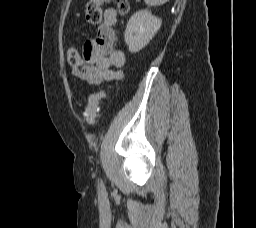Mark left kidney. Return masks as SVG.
<instances>
[{"instance_id": "obj_1", "label": "left kidney", "mask_w": 256, "mask_h": 228, "mask_svg": "<svg viewBox=\"0 0 256 228\" xmlns=\"http://www.w3.org/2000/svg\"><path fill=\"white\" fill-rule=\"evenodd\" d=\"M162 20L152 15L148 10L136 12L129 19L124 37L131 53L143 49L158 32Z\"/></svg>"}]
</instances>
